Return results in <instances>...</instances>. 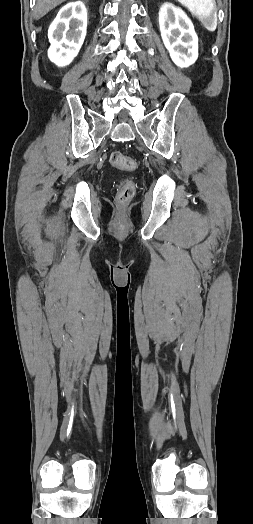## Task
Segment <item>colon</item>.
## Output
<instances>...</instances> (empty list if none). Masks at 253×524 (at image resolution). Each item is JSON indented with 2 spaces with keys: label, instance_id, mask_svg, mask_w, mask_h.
I'll return each instance as SVG.
<instances>
[{
  "label": "colon",
  "instance_id": "obj_1",
  "mask_svg": "<svg viewBox=\"0 0 253 524\" xmlns=\"http://www.w3.org/2000/svg\"><path fill=\"white\" fill-rule=\"evenodd\" d=\"M109 161L112 166L127 171L134 170L137 166L134 159L124 156L119 151L112 152L110 154ZM134 193L135 184L130 180H126L120 186L119 192L117 194V202L122 205L128 203L133 197Z\"/></svg>",
  "mask_w": 253,
  "mask_h": 524
}]
</instances>
